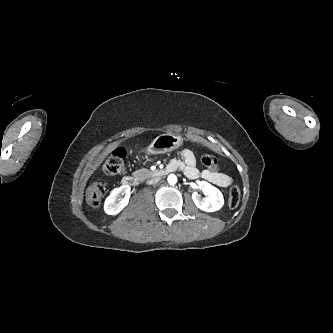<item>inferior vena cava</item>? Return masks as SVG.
Masks as SVG:
<instances>
[{
  "instance_id": "obj_1",
  "label": "inferior vena cava",
  "mask_w": 333,
  "mask_h": 333,
  "mask_svg": "<svg viewBox=\"0 0 333 333\" xmlns=\"http://www.w3.org/2000/svg\"><path fill=\"white\" fill-rule=\"evenodd\" d=\"M159 180H160V177L153 178V179L147 181V184L151 185V184L157 183Z\"/></svg>"
}]
</instances>
